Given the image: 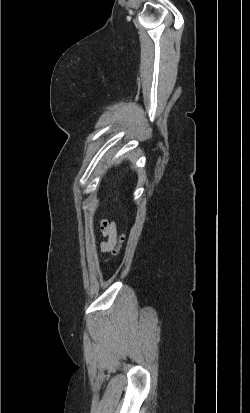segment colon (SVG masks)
Instances as JSON below:
<instances>
[{
  "label": "colon",
  "instance_id": "obj_1",
  "mask_svg": "<svg viewBox=\"0 0 250 413\" xmlns=\"http://www.w3.org/2000/svg\"><path fill=\"white\" fill-rule=\"evenodd\" d=\"M126 239V232L122 233L118 239L117 245L112 250V255L115 256L118 254L121 245L125 242Z\"/></svg>",
  "mask_w": 250,
  "mask_h": 413
}]
</instances>
